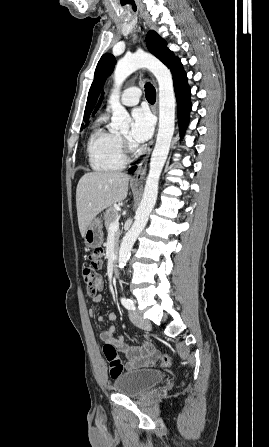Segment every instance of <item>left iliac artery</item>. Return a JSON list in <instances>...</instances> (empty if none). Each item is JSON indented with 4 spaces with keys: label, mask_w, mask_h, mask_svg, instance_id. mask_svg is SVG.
I'll return each mask as SVG.
<instances>
[{
    "label": "left iliac artery",
    "mask_w": 269,
    "mask_h": 447,
    "mask_svg": "<svg viewBox=\"0 0 269 447\" xmlns=\"http://www.w3.org/2000/svg\"><path fill=\"white\" fill-rule=\"evenodd\" d=\"M122 305L129 310H135L134 302L128 298H121Z\"/></svg>",
    "instance_id": "obj_1"
}]
</instances>
